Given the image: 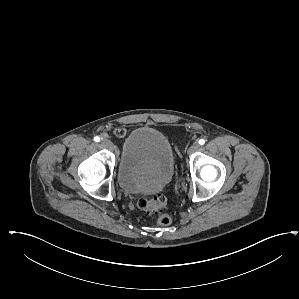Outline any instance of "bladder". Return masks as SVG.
Here are the masks:
<instances>
[{
	"label": "bladder",
	"instance_id": "obj_1",
	"mask_svg": "<svg viewBox=\"0 0 299 299\" xmlns=\"http://www.w3.org/2000/svg\"><path fill=\"white\" fill-rule=\"evenodd\" d=\"M175 154L167 137L157 129L138 127L124 140L117 178L130 193H154L173 178Z\"/></svg>",
	"mask_w": 299,
	"mask_h": 299
}]
</instances>
